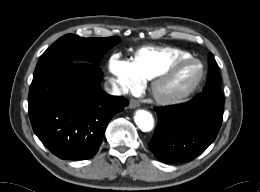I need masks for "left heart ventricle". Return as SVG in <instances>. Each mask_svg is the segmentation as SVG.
Listing matches in <instances>:
<instances>
[{"mask_svg":"<svg viewBox=\"0 0 260 192\" xmlns=\"http://www.w3.org/2000/svg\"><path fill=\"white\" fill-rule=\"evenodd\" d=\"M198 68L194 65L184 66L179 69L172 77L163 82L157 88L160 95H169L182 90L190 85L197 77Z\"/></svg>","mask_w":260,"mask_h":192,"instance_id":"obj_1","label":"left heart ventricle"}]
</instances>
